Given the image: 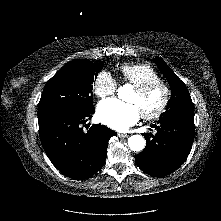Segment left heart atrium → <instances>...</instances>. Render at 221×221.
<instances>
[{"instance_id": "39dd6f15", "label": "left heart atrium", "mask_w": 221, "mask_h": 221, "mask_svg": "<svg viewBox=\"0 0 221 221\" xmlns=\"http://www.w3.org/2000/svg\"><path fill=\"white\" fill-rule=\"evenodd\" d=\"M140 115L141 111L136 104L116 99L103 100L97 107L99 120L117 131L127 130L139 120Z\"/></svg>"}]
</instances>
